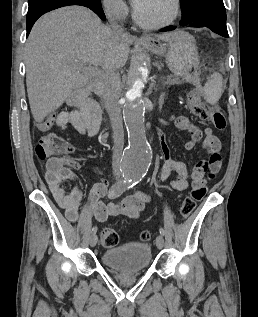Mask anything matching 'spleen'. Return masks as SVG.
Masks as SVG:
<instances>
[{
	"mask_svg": "<svg viewBox=\"0 0 258 317\" xmlns=\"http://www.w3.org/2000/svg\"><path fill=\"white\" fill-rule=\"evenodd\" d=\"M223 92V76L220 72H213L208 76L207 82L204 84V94L207 102L215 104L218 102Z\"/></svg>",
	"mask_w": 258,
	"mask_h": 317,
	"instance_id": "obj_1",
	"label": "spleen"
}]
</instances>
